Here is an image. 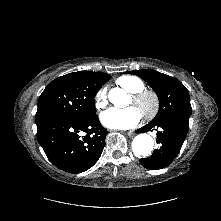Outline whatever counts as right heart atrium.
<instances>
[{"label":"right heart atrium","instance_id":"d8ad5b80","mask_svg":"<svg viewBox=\"0 0 221 221\" xmlns=\"http://www.w3.org/2000/svg\"><path fill=\"white\" fill-rule=\"evenodd\" d=\"M107 105V92L106 88H100L94 97V107L100 111Z\"/></svg>","mask_w":221,"mask_h":221}]
</instances>
